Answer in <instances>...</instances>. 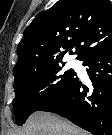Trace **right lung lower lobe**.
I'll list each match as a JSON object with an SVG mask.
<instances>
[{
    "mask_svg": "<svg viewBox=\"0 0 112 135\" xmlns=\"http://www.w3.org/2000/svg\"><path fill=\"white\" fill-rule=\"evenodd\" d=\"M81 60L92 84H82L76 75L59 96L38 111L59 114L93 135H112V46Z\"/></svg>",
    "mask_w": 112,
    "mask_h": 135,
    "instance_id": "1",
    "label": "right lung lower lobe"
}]
</instances>
